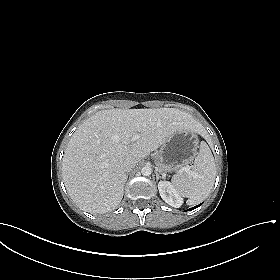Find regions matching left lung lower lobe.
I'll return each mask as SVG.
<instances>
[{
    "mask_svg": "<svg viewBox=\"0 0 280 280\" xmlns=\"http://www.w3.org/2000/svg\"><path fill=\"white\" fill-rule=\"evenodd\" d=\"M198 206H199V205H198ZM198 206H195V207H193V208H191V209H189V210L195 209V208H197Z\"/></svg>",
    "mask_w": 280,
    "mask_h": 280,
    "instance_id": "0a47b994",
    "label": "left lung lower lobe"
}]
</instances>
